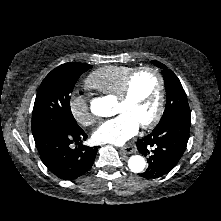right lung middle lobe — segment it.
I'll return each instance as SVG.
<instances>
[{
  "label": "right lung middle lobe",
  "mask_w": 221,
  "mask_h": 221,
  "mask_svg": "<svg viewBox=\"0 0 221 221\" xmlns=\"http://www.w3.org/2000/svg\"><path fill=\"white\" fill-rule=\"evenodd\" d=\"M92 68L69 62L53 69L41 83L32 113V133L55 127L78 128L70 109V94L79 77Z\"/></svg>",
  "instance_id": "obj_1"
}]
</instances>
